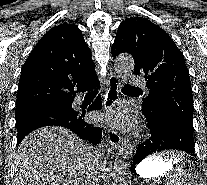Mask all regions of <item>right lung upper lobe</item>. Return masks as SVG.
Segmentation results:
<instances>
[{
    "label": "right lung upper lobe",
    "mask_w": 207,
    "mask_h": 185,
    "mask_svg": "<svg viewBox=\"0 0 207 185\" xmlns=\"http://www.w3.org/2000/svg\"><path fill=\"white\" fill-rule=\"evenodd\" d=\"M96 79L91 50L80 29L70 23L54 26L22 68L16 111L67 103L77 88Z\"/></svg>",
    "instance_id": "right-lung-upper-lobe-1"
}]
</instances>
